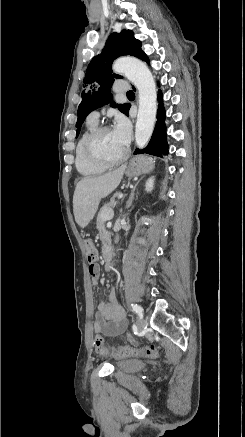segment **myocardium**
Masks as SVG:
<instances>
[{
    "instance_id": "1",
    "label": "myocardium",
    "mask_w": 245,
    "mask_h": 437,
    "mask_svg": "<svg viewBox=\"0 0 245 437\" xmlns=\"http://www.w3.org/2000/svg\"><path fill=\"white\" fill-rule=\"evenodd\" d=\"M109 130H112L110 126L107 125H100L97 126L95 129H93L88 136L85 139L84 142V151L86 156L94 163L105 166V167H111L118 165L125 161L129 155V149L126 148V151L124 154L117 158V159H108L105 158L100 154L98 151V140L101 137V135Z\"/></svg>"
}]
</instances>
